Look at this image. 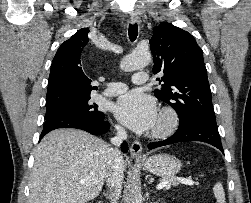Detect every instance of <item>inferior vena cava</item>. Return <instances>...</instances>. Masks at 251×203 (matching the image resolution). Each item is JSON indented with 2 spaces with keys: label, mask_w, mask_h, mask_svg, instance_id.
<instances>
[{
  "label": "inferior vena cava",
  "mask_w": 251,
  "mask_h": 203,
  "mask_svg": "<svg viewBox=\"0 0 251 203\" xmlns=\"http://www.w3.org/2000/svg\"><path fill=\"white\" fill-rule=\"evenodd\" d=\"M116 136L111 139V143L116 146L109 149V156L111 159V167L106 177V183L111 187V203H117L122 189L123 183V157L121 155L119 146L127 138V132L120 126H116Z\"/></svg>",
  "instance_id": "602c4592"
}]
</instances>
